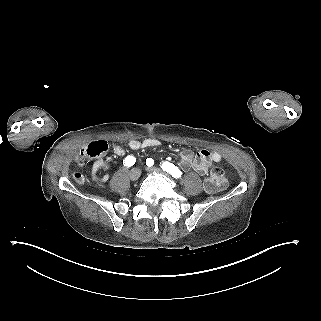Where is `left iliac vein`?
<instances>
[{
  "instance_id": "obj_1",
  "label": "left iliac vein",
  "mask_w": 321,
  "mask_h": 321,
  "mask_svg": "<svg viewBox=\"0 0 321 321\" xmlns=\"http://www.w3.org/2000/svg\"><path fill=\"white\" fill-rule=\"evenodd\" d=\"M146 170L150 173L163 174L162 170L156 167H147Z\"/></svg>"
}]
</instances>
